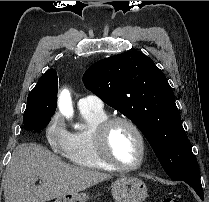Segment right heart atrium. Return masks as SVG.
<instances>
[{"label": "right heart atrium", "mask_w": 209, "mask_h": 202, "mask_svg": "<svg viewBox=\"0 0 209 202\" xmlns=\"http://www.w3.org/2000/svg\"><path fill=\"white\" fill-rule=\"evenodd\" d=\"M44 136L55 152H65L69 143L70 133L58 114H53L48 119L44 128Z\"/></svg>", "instance_id": "right-heart-atrium-1"}]
</instances>
